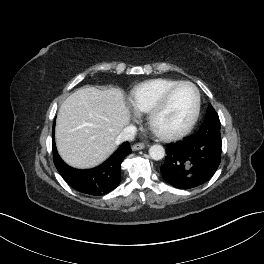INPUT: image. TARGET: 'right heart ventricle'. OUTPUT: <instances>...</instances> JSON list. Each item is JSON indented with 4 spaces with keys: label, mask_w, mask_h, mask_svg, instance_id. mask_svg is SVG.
Listing matches in <instances>:
<instances>
[{
    "label": "right heart ventricle",
    "mask_w": 264,
    "mask_h": 264,
    "mask_svg": "<svg viewBox=\"0 0 264 264\" xmlns=\"http://www.w3.org/2000/svg\"><path fill=\"white\" fill-rule=\"evenodd\" d=\"M178 80L155 78L137 84L129 94V104L137 113H147L163 92Z\"/></svg>",
    "instance_id": "right-heart-ventricle-1"
}]
</instances>
